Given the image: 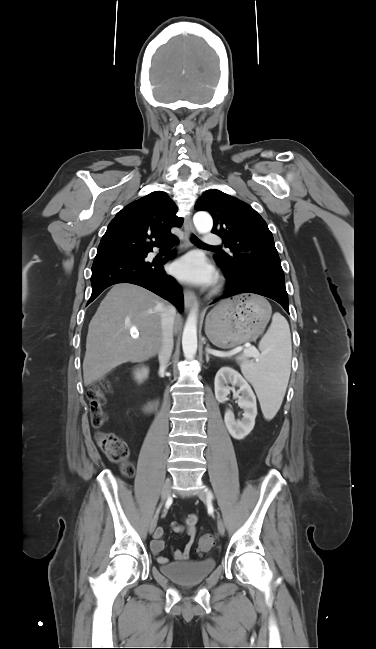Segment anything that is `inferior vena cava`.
I'll return each instance as SVG.
<instances>
[{
  "mask_svg": "<svg viewBox=\"0 0 376 649\" xmlns=\"http://www.w3.org/2000/svg\"><path fill=\"white\" fill-rule=\"evenodd\" d=\"M176 316V309L173 306H166L161 313L162 341L158 350L160 369L165 370L173 351V327Z\"/></svg>",
  "mask_w": 376,
  "mask_h": 649,
  "instance_id": "602c4592",
  "label": "inferior vena cava"
}]
</instances>
